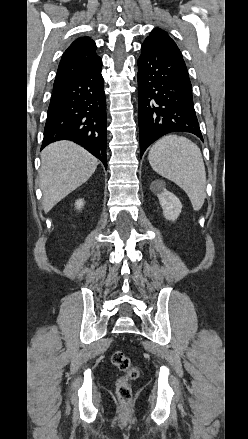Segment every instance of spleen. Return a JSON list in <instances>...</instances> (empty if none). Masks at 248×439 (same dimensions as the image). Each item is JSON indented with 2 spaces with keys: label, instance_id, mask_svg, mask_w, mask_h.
<instances>
[{
  "label": "spleen",
  "instance_id": "obj_1",
  "mask_svg": "<svg viewBox=\"0 0 248 439\" xmlns=\"http://www.w3.org/2000/svg\"><path fill=\"white\" fill-rule=\"evenodd\" d=\"M152 169L182 188L193 209L199 211L206 197V171L199 147L186 137L167 135L150 149Z\"/></svg>",
  "mask_w": 248,
  "mask_h": 439
}]
</instances>
